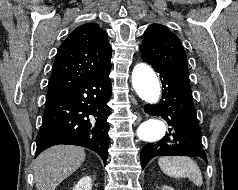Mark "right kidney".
<instances>
[{
    "mask_svg": "<svg viewBox=\"0 0 238 190\" xmlns=\"http://www.w3.org/2000/svg\"><path fill=\"white\" fill-rule=\"evenodd\" d=\"M92 180L89 176H85L79 180L73 190H91Z\"/></svg>",
    "mask_w": 238,
    "mask_h": 190,
    "instance_id": "right-kidney-1",
    "label": "right kidney"
}]
</instances>
